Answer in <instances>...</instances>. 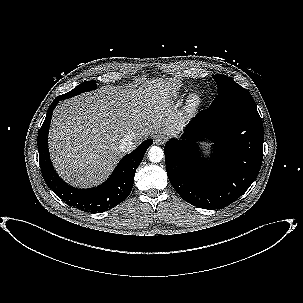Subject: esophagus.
<instances>
[{
	"label": "esophagus",
	"instance_id": "esophagus-1",
	"mask_svg": "<svg viewBox=\"0 0 303 303\" xmlns=\"http://www.w3.org/2000/svg\"><path fill=\"white\" fill-rule=\"evenodd\" d=\"M164 141H165V137L163 135H157L154 138V143L157 144V145L163 144Z\"/></svg>",
	"mask_w": 303,
	"mask_h": 303
}]
</instances>
